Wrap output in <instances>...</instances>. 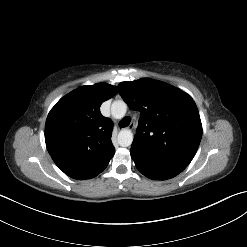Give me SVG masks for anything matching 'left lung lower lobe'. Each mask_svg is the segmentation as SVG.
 Returning <instances> with one entry per match:
<instances>
[{
    "instance_id": "left-lung-lower-lobe-1",
    "label": "left lung lower lobe",
    "mask_w": 247,
    "mask_h": 247,
    "mask_svg": "<svg viewBox=\"0 0 247 247\" xmlns=\"http://www.w3.org/2000/svg\"><path fill=\"white\" fill-rule=\"evenodd\" d=\"M130 154L137 169L150 179L167 180L182 172V170L168 166L150 153L136 147H131Z\"/></svg>"
}]
</instances>
